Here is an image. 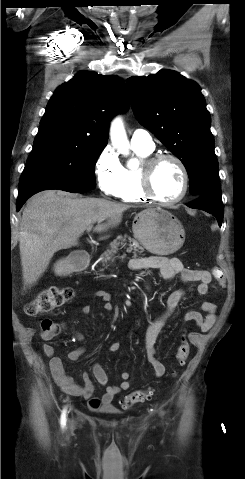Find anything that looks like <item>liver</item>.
Here are the masks:
<instances>
[{"mask_svg":"<svg viewBox=\"0 0 245 479\" xmlns=\"http://www.w3.org/2000/svg\"><path fill=\"white\" fill-rule=\"evenodd\" d=\"M129 205L100 198H78L48 190L33 196L20 220L19 247L24 285L34 284L54 253L75 246L97 222L96 232L116 227ZM107 220L105 223H102Z\"/></svg>","mask_w":245,"mask_h":479,"instance_id":"liver-1","label":"liver"}]
</instances>
